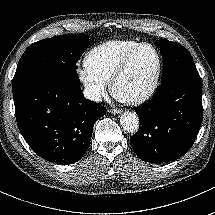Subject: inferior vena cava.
Listing matches in <instances>:
<instances>
[{
  "instance_id": "inferior-vena-cava-1",
  "label": "inferior vena cava",
  "mask_w": 215,
  "mask_h": 215,
  "mask_svg": "<svg viewBox=\"0 0 215 215\" xmlns=\"http://www.w3.org/2000/svg\"><path fill=\"white\" fill-rule=\"evenodd\" d=\"M83 95L85 98L91 101H95V102L102 101L100 90L94 83L87 84V86L83 90Z\"/></svg>"
}]
</instances>
